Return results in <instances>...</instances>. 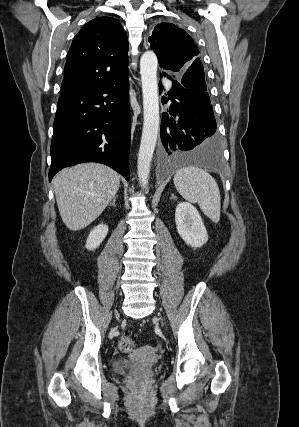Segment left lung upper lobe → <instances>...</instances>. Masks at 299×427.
Masks as SVG:
<instances>
[{
    "instance_id": "5c2ea615",
    "label": "left lung upper lobe",
    "mask_w": 299,
    "mask_h": 427,
    "mask_svg": "<svg viewBox=\"0 0 299 427\" xmlns=\"http://www.w3.org/2000/svg\"><path fill=\"white\" fill-rule=\"evenodd\" d=\"M149 42L162 70L177 73L184 87L208 95L204 68L198 58L199 50L183 29L162 22L155 26Z\"/></svg>"
}]
</instances>
